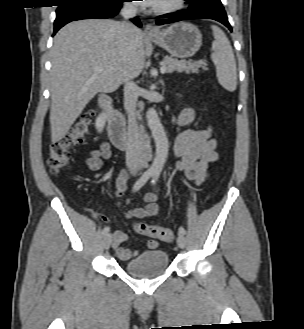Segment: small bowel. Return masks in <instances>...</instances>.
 <instances>
[{"label":"small bowel","mask_w":304,"mask_h":329,"mask_svg":"<svg viewBox=\"0 0 304 329\" xmlns=\"http://www.w3.org/2000/svg\"><path fill=\"white\" fill-rule=\"evenodd\" d=\"M195 111L186 107L180 112L178 124L185 126L193 121ZM217 142L212 137L211 130L208 129H188L183 131L174 142L175 166L183 172L187 179L196 183L203 182L208 176L209 165L218 159L216 152ZM111 155L110 145L102 143L96 150L91 151L86 164L91 171H98L104 159ZM129 173L122 171L116 179L117 195H121L126 190ZM158 195L150 193L142 200L144 206L128 210L124 213L126 218H147L157 214L158 208L156 200ZM120 205V203H118ZM112 248L122 260H129L139 255L138 250H131L123 246L129 241V237L122 231L116 230L112 233ZM149 249H156L159 246L157 240H149Z\"/></svg>","instance_id":"obj_1"}]
</instances>
